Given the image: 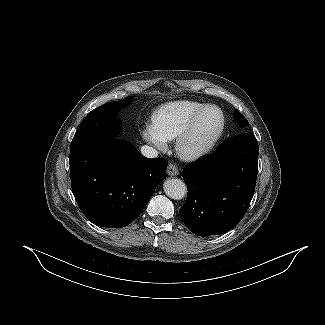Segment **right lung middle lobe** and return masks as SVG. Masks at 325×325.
<instances>
[{
  "mask_svg": "<svg viewBox=\"0 0 325 325\" xmlns=\"http://www.w3.org/2000/svg\"><path fill=\"white\" fill-rule=\"evenodd\" d=\"M131 100L132 97H127L124 100L106 103L92 110L82 120L74 136L89 135L100 138L116 136L119 129L116 115Z\"/></svg>",
  "mask_w": 325,
  "mask_h": 325,
  "instance_id": "right-lung-middle-lobe-1",
  "label": "right lung middle lobe"
}]
</instances>
